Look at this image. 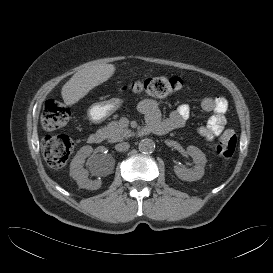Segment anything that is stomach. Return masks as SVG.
Segmentation results:
<instances>
[{
    "mask_svg": "<svg viewBox=\"0 0 273 273\" xmlns=\"http://www.w3.org/2000/svg\"><path fill=\"white\" fill-rule=\"evenodd\" d=\"M122 105L119 98H111L101 102L94 103L88 109V118L93 122H100L111 116Z\"/></svg>",
    "mask_w": 273,
    "mask_h": 273,
    "instance_id": "stomach-1",
    "label": "stomach"
}]
</instances>
